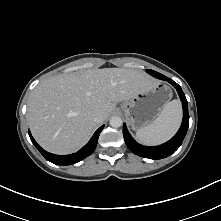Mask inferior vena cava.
Wrapping results in <instances>:
<instances>
[{
  "instance_id": "1",
  "label": "inferior vena cava",
  "mask_w": 221,
  "mask_h": 221,
  "mask_svg": "<svg viewBox=\"0 0 221 221\" xmlns=\"http://www.w3.org/2000/svg\"><path fill=\"white\" fill-rule=\"evenodd\" d=\"M93 119L95 122L100 123L102 121V116L100 114H96Z\"/></svg>"
}]
</instances>
